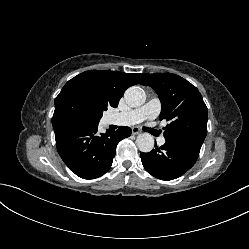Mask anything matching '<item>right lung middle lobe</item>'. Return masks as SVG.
Listing matches in <instances>:
<instances>
[{
    "label": "right lung middle lobe",
    "instance_id": "dd1d6c3e",
    "mask_svg": "<svg viewBox=\"0 0 249 249\" xmlns=\"http://www.w3.org/2000/svg\"><path fill=\"white\" fill-rule=\"evenodd\" d=\"M103 110L90 93L70 88L61 90L56 97L53 118L67 117L93 125L99 123Z\"/></svg>",
    "mask_w": 249,
    "mask_h": 249
}]
</instances>
